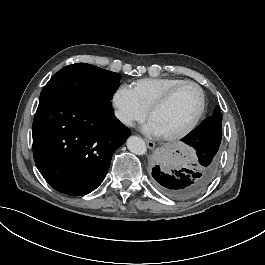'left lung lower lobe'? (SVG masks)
Listing matches in <instances>:
<instances>
[{
  "instance_id": "obj_1",
  "label": "left lung lower lobe",
  "mask_w": 265,
  "mask_h": 265,
  "mask_svg": "<svg viewBox=\"0 0 265 265\" xmlns=\"http://www.w3.org/2000/svg\"><path fill=\"white\" fill-rule=\"evenodd\" d=\"M214 131L199 125L182 139L196 150L198 160L191 169L169 170L164 164L153 167L150 181L158 192L171 199L188 200L211 184L219 167L222 138V133Z\"/></svg>"
}]
</instances>
